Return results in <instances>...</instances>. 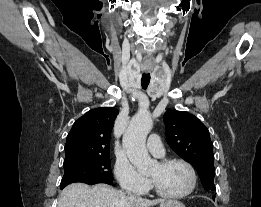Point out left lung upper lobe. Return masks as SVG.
Listing matches in <instances>:
<instances>
[{"label":"left lung upper lobe","instance_id":"1","mask_svg":"<svg viewBox=\"0 0 261 207\" xmlns=\"http://www.w3.org/2000/svg\"><path fill=\"white\" fill-rule=\"evenodd\" d=\"M164 122L169 146L193 165L206 190H215L213 144L206 126L194 115L176 110L167 111Z\"/></svg>","mask_w":261,"mask_h":207}]
</instances>
